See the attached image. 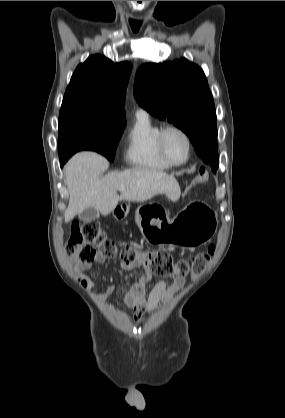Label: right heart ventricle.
<instances>
[{"mask_svg":"<svg viewBox=\"0 0 285 418\" xmlns=\"http://www.w3.org/2000/svg\"><path fill=\"white\" fill-rule=\"evenodd\" d=\"M159 130L160 126L149 116L136 117L125 137V160L129 165L151 171L170 167L156 145Z\"/></svg>","mask_w":285,"mask_h":418,"instance_id":"obj_1","label":"right heart ventricle"}]
</instances>
